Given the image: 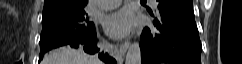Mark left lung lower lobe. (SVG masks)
Listing matches in <instances>:
<instances>
[{
  "label": "left lung lower lobe",
  "mask_w": 242,
  "mask_h": 64,
  "mask_svg": "<svg viewBox=\"0 0 242 64\" xmlns=\"http://www.w3.org/2000/svg\"><path fill=\"white\" fill-rule=\"evenodd\" d=\"M158 2V19L141 35L142 64H201L202 45L192 0Z\"/></svg>",
  "instance_id": "obj_1"
}]
</instances>
